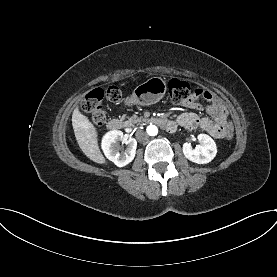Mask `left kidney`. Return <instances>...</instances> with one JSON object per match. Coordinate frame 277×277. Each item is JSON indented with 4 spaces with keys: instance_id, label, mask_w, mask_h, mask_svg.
Returning <instances> with one entry per match:
<instances>
[{
    "instance_id": "1",
    "label": "left kidney",
    "mask_w": 277,
    "mask_h": 277,
    "mask_svg": "<svg viewBox=\"0 0 277 277\" xmlns=\"http://www.w3.org/2000/svg\"><path fill=\"white\" fill-rule=\"evenodd\" d=\"M198 140L201 145H197L195 148L191 146L190 143L183 144V154L184 156L197 164H206L211 162L217 153V147L214 140L206 135L199 134Z\"/></svg>"
}]
</instances>
